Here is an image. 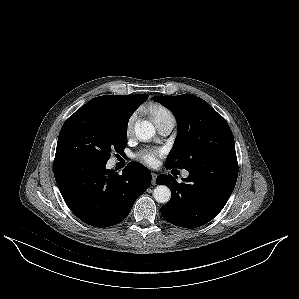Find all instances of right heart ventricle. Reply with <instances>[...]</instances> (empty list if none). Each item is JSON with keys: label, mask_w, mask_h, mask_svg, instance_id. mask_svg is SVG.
Instances as JSON below:
<instances>
[{"label": "right heart ventricle", "mask_w": 299, "mask_h": 299, "mask_svg": "<svg viewBox=\"0 0 299 299\" xmlns=\"http://www.w3.org/2000/svg\"><path fill=\"white\" fill-rule=\"evenodd\" d=\"M151 114L156 124L161 120L173 117L172 113L162 105H154L151 108Z\"/></svg>", "instance_id": "right-heart-ventricle-1"}]
</instances>
